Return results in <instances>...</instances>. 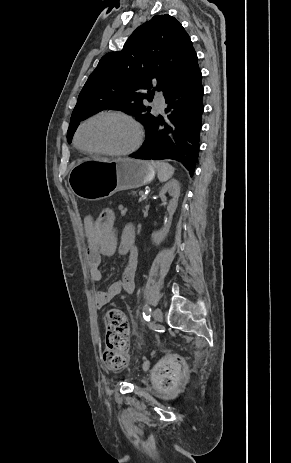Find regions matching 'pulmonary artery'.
<instances>
[{"label":"pulmonary artery","instance_id":"1","mask_svg":"<svg viewBox=\"0 0 291 463\" xmlns=\"http://www.w3.org/2000/svg\"><path fill=\"white\" fill-rule=\"evenodd\" d=\"M154 103L157 110L162 111L164 109L165 100L162 95L156 94Z\"/></svg>","mask_w":291,"mask_h":463}]
</instances>
